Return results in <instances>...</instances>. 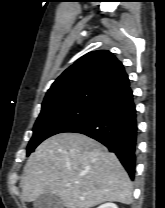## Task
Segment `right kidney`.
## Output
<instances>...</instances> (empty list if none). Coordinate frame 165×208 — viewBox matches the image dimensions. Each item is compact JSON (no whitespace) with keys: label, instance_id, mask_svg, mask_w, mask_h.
<instances>
[{"label":"right kidney","instance_id":"1","mask_svg":"<svg viewBox=\"0 0 165 208\" xmlns=\"http://www.w3.org/2000/svg\"><path fill=\"white\" fill-rule=\"evenodd\" d=\"M97 208H118V206L114 203H105V204L100 205Z\"/></svg>","mask_w":165,"mask_h":208}]
</instances>
